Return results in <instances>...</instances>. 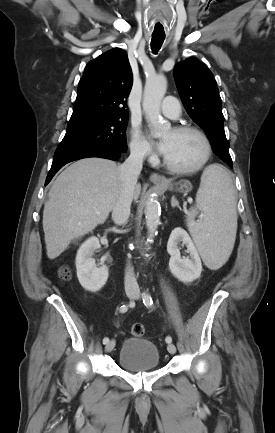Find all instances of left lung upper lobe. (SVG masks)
I'll return each mask as SVG.
<instances>
[{"mask_svg":"<svg viewBox=\"0 0 275 433\" xmlns=\"http://www.w3.org/2000/svg\"><path fill=\"white\" fill-rule=\"evenodd\" d=\"M173 74L187 113L206 131L216 155L231 166L221 98L212 72L204 63L191 57L179 62Z\"/></svg>","mask_w":275,"mask_h":433,"instance_id":"1","label":"left lung upper lobe"}]
</instances>
